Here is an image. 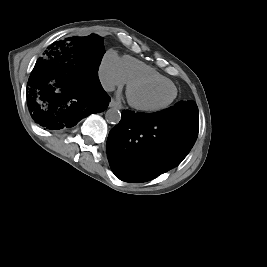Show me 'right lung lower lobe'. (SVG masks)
I'll return each instance as SVG.
<instances>
[{"label": "right lung lower lobe", "mask_w": 267, "mask_h": 267, "mask_svg": "<svg viewBox=\"0 0 267 267\" xmlns=\"http://www.w3.org/2000/svg\"><path fill=\"white\" fill-rule=\"evenodd\" d=\"M51 48L31 73L27 106L34 122L44 129L71 128L104 111L110 98L98 79V66L66 44Z\"/></svg>", "instance_id": "1"}]
</instances>
